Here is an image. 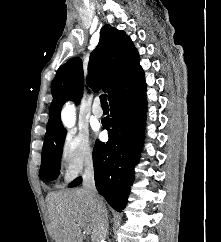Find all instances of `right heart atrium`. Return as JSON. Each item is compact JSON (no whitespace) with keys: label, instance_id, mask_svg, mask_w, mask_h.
<instances>
[{"label":"right heart atrium","instance_id":"obj_1","mask_svg":"<svg viewBox=\"0 0 221 242\" xmlns=\"http://www.w3.org/2000/svg\"><path fill=\"white\" fill-rule=\"evenodd\" d=\"M58 159L67 183L91 169L95 161V150L88 135L75 131L67 133L61 141Z\"/></svg>","mask_w":221,"mask_h":242}]
</instances>
